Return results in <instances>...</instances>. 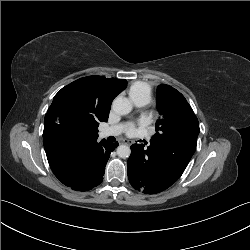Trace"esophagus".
I'll use <instances>...</instances> for the list:
<instances>
[{
    "instance_id": "34e87169",
    "label": "esophagus",
    "mask_w": 250,
    "mask_h": 250,
    "mask_svg": "<svg viewBox=\"0 0 250 250\" xmlns=\"http://www.w3.org/2000/svg\"><path fill=\"white\" fill-rule=\"evenodd\" d=\"M120 143H121V144H129V141L126 140V139H122V140L120 141Z\"/></svg>"
}]
</instances>
